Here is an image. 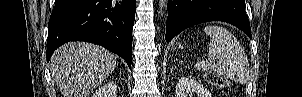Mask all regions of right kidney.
I'll return each instance as SVG.
<instances>
[{
    "instance_id": "obj_1",
    "label": "right kidney",
    "mask_w": 302,
    "mask_h": 97,
    "mask_svg": "<svg viewBox=\"0 0 302 97\" xmlns=\"http://www.w3.org/2000/svg\"><path fill=\"white\" fill-rule=\"evenodd\" d=\"M116 90L117 85H115L113 82H108L99 88L93 97H115Z\"/></svg>"
}]
</instances>
